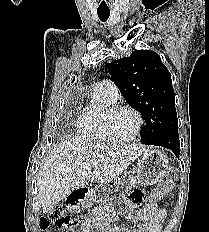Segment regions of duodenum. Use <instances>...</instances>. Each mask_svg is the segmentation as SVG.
I'll return each mask as SVG.
<instances>
[{"label": "duodenum", "instance_id": "410a0bca", "mask_svg": "<svg viewBox=\"0 0 209 232\" xmlns=\"http://www.w3.org/2000/svg\"><path fill=\"white\" fill-rule=\"evenodd\" d=\"M88 189L84 186L77 187L71 194L69 201L71 204L76 205L86 198Z\"/></svg>", "mask_w": 209, "mask_h": 232}]
</instances>
